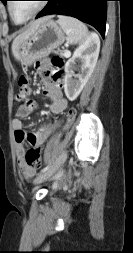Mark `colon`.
Wrapping results in <instances>:
<instances>
[{
  "instance_id": "colon-1",
  "label": "colon",
  "mask_w": 133,
  "mask_h": 253,
  "mask_svg": "<svg viewBox=\"0 0 133 253\" xmlns=\"http://www.w3.org/2000/svg\"><path fill=\"white\" fill-rule=\"evenodd\" d=\"M52 65L54 69L60 70L63 66V60L60 57H53L52 58ZM30 96V86L28 80L25 76L20 77L19 79V90L16 95V100L22 105L26 104V99ZM76 110L74 108H70L67 111V120L66 125H75L76 122ZM26 161L29 166L34 168L35 170L41 167V153L40 149H31L26 154Z\"/></svg>"
}]
</instances>
